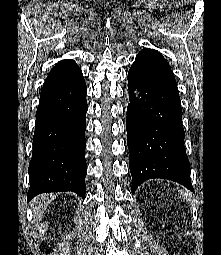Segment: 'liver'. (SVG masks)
Instances as JSON below:
<instances>
[{
  "instance_id": "6515ba94",
  "label": "liver",
  "mask_w": 221,
  "mask_h": 255,
  "mask_svg": "<svg viewBox=\"0 0 221 255\" xmlns=\"http://www.w3.org/2000/svg\"><path fill=\"white\" fill-rule=\"evenodd\" d=\"M52 201V196H47V195H40L37 196L34 199V204H35V208L34 210V214L36 216H42L45 208L51 203Z\"/></svg>"
}]
</instances>
